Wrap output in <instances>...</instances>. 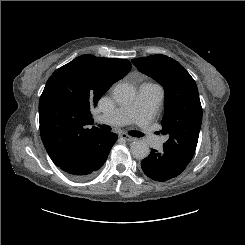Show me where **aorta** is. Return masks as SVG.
<instances>
[{
	"instance_id": "obj_1",
	"label": "aorta",
	"mask_w": 245,
	"mask_h": 245,
	"mask_svg": "<svg viewBox=\"0 0 245 245\" xmlns=\"http://www.w3.org/2000/svg\"><path fill=\"white\" fill-rule=\"evenodd\" d=\"M135 94L136 92L134 87L126 83L116 85L113 90L115 101L122 105L131 103L135 98ZM130 150L136 159H144L150 153L148 144L143 140H136L132 142Z\"/></svg>"
}]
</instances>
